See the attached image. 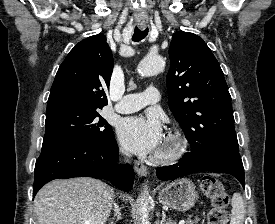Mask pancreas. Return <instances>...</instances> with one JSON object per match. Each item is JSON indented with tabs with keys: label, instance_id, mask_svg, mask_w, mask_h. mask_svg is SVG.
Returning <instances> with one entry per match:
<instances>
[{
	"label": "pancreas",
	"instance_id": "pancreas-1",
	"mask_svg": "<svg viewBox=\"0 0 275 224\" xmlns=\"http://www.w3.org/2000/svg\"><path fill=\"white\" fill-rule=\"evenodd\" d=\"M200 221L199 217H195L194 219H187L186 224H198V222Z\"/></svg>",
	"mask_w": 275,
	"mask_h": 224
}]
</instances>
